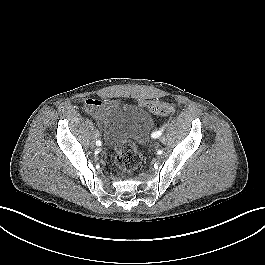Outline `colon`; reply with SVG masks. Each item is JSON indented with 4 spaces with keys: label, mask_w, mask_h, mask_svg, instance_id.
<instances>
[{
    "label": "colon",
    "mask_w": 265,
    "mask_h": 265,
    "mask_svg": "<svg viewBox=\"0 0 265 265\" xmlns=\"http://www.w3.org/2000/svg\"><path fill=\"white\" fill-rule=\"evenodd\" d=\"M140 105L158 115H168L173 111V105L164 102L142 101ZM116 165L126 172H132L142 162V155L132 142H122L115 146Z\"/></svg>",
    "instance_id": "1"
}]
</instances>
